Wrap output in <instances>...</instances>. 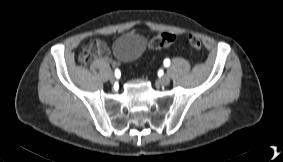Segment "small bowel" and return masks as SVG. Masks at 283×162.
Wrapping results in <instances>:
<instances>
[{"label":"small bowel","mask_w":283,"mask_h":162,"mask_svg":"<svg viewBox=\"0 0 283 162\" xmlns=\"http://www.w3.org/2000/svg\"><path fill=\"white\" fill-rule=\"evenodd\" d=\"M83 52H89L92 56H96L101 60H108L110 50L108 45L100 39H96L85 45Z\"/></svg>","instance_id":"c3829d8e"}]
</instances>
